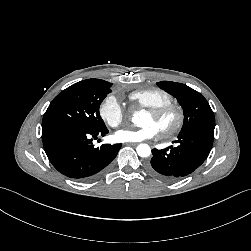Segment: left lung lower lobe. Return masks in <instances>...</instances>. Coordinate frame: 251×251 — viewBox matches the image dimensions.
Segmentation results:
<instances>
[{
    "label": "left lung lower lobe",
    "instance_id": "1",
    "mask_svg": "<svg viewBox=\"0 0 251 251\" xmlns=\"http://www.w3.org/2000/svg\"><path fill=\"white\" fill-rule=\"evenodd\" d=\"M214 140V132L193 130L178 135L173 142L177 146L153 149V157L147 170L164 181L181 179L196 170L208 157Z\"/></svg>",
    "mask_w": 251,
    "mask_h": 251
}]
</instances>
